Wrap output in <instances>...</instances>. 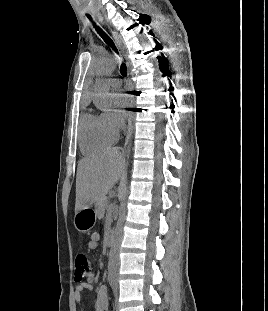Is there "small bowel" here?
I'll return each mask as SVG.
<instances>
[{
    "instance_id": "obj_1",
    "label": "small bowel",
    "mask_w": 268,
    "mask_h": 311,
    "mask_svg": "<svg viewBox=\"0 0 268 311\" xmlns=\"http://www.w3.org/2000/svg\"><path fill=\"white\" fill-rule=\"evenodd\" d=\"M100 235L98 233H93L91 235L90 241L88 242V248L95 251L98 248V242ZM93 281L94 275L89 273L87 275L86 281H77V285L74 291V300L76 304H81L82 295L85 291H93ZM109 305V298L107 294V289L105 286H101L96 291V311H106Z\"/></svg>"
}]
</instances>
